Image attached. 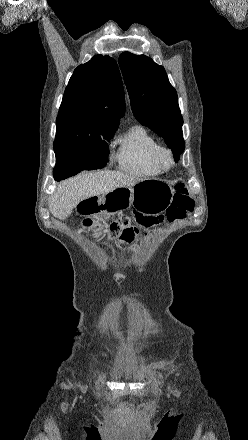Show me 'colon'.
Masks as SVG:
<instances>
[{
    "mask_svg": "<svg viewBox=\"0 0 248 440\" xmlns=\"http://www.w3.org/2000/svg\"><path fill=\"white\" fill-rule=\"evenodd\" d=\"M193 208V198L185 186L179 183L175 187L172 203L167 208L165 214L154 217L148 216L140 210H136L132 217L124 216L117 219L112 225L113 228L111 230V235L113 237L120 235L123 241L131 242L138 235V230L132 226L133 221L144 226H151L163 221L164 218L169 221L185 218L187 214L193 210Z\"/></svg>",
    "mask_w": 248,
    "mask_h": 440,
    "instance_id": "colon-1",
    "label": "colon"
}]
</instances>
